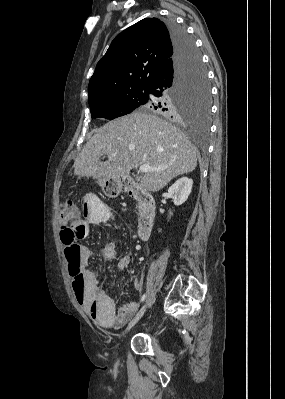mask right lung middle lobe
<instances>
[{
  "mask_svg": "<svg viewBox=\"0 0 285 399\" xmlns=\"http://www.w3.org/2000/svg\"><path fill=\"white\" fill-rule=\"evenodd\" d=\"M156 98L158 97H155L151 93L150 87H142L120 91L89 100L88 102L92 118L112 120L129 114L141 106L171 115H181L185 111L196 112L203 118H207L211 106L210 87L206 69L197 49L192 62L188 65L180 81L171 89L170 93L161 97V101H158ZM165 99L172 101L173 110L168 112L162 105Z\"/></svg>",
  "mask_w": 285,
  "mask_h": 399,
  "instance_id": "1",
  "label": "right lung middle lobe"
}]
</instances>
